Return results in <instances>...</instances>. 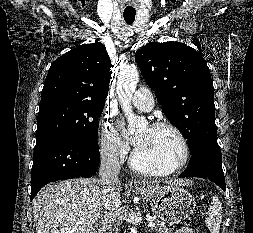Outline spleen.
<instances>
[{
	"label": "spleen",
	"instance_id": "1",
	"mask_svg": "<svg viewBox=\"0 0 253 233\" xmlns=\"http://www.w3.org/2000/svg\"><path fill=\"white\" fill-rule=\"evenodd\" d=\"M222 222V206L217 196H213L208 209V217L205 223L211 233H219Z\"/></svg>",
	"mask_w": 253,
	"mask_h": 233
}]
</instances>
